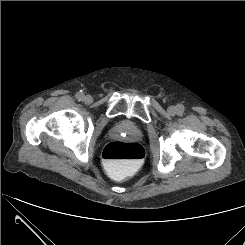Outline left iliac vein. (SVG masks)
Returning <instances> with one entry per match:
<instances>
[{
	"instance_id": "obj_1",
	"label": "left iliac vein",
	"mask_w": 245,
	"mask_h": 245,
	"mask_svg": "<svg viewBox=\"0 0 245 245\" xmlns=\"http://www.w3.org/2000/svg\"><path fill=\"white\" fill-rule=\"evenodd\" d=\"M168 113H169L170 115H175V114L177 113V108H176L175 106H170V107L168 108Z\"/></svg>"
}]
</instances>
